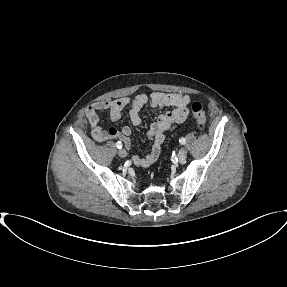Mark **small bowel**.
Returning <instances> with one entry per match:
<instances>
[{
    "mask_svg": "<svg viewBox=\"0 0 287 287\" xmlns=\"http://www.w3.org/2000/svg\"><path fill=\"white\" fill-rule=\"evenodd\" d=\"M190 98L185 94L153 92L151 94L141 93L133 98L122 97L114 100H103L93 103L86 108L85 116L91 128V135L98 142L111 139H119L129 147L131 142L129 135L131 129L125 126L121 129L110 127L104 129L99 124L98 111L108 110L112 121H118L122 117L123 109L130 105L129 117L131 124L138 126L142 120L140 110L149 104L153 108L174 107L172 111L161 114L151 123L148 137L153 141L151 152L145 157L134 156L133 163L141 168H147L157 161L161 154V145L165 139V133L182 124L189 115Z\"/></svg>",
    "mask_w": 287,
    "mask_h": 287,
    "instance_id": "c3829d8e",
    "label": "small bowel"
}]
</instances>
